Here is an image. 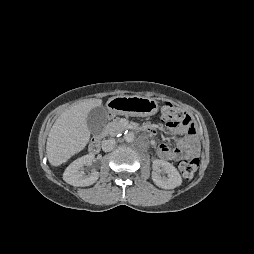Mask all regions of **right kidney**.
I'll list each match as a JSON object with an SVG mask.
<instances>
[{"mask_svg":"<svg viewBox=\"0 0 254 254\" xmlns=\"http://www.w3.org/2000/svg\"><path fill=\"white\" fill-rule=\"evenodd\" d=\"M94 161L93 154H87L72 162L63 174V180L73 186H90L99 178V172L93 171L86 175L83 172V167L91 165Z\"/></svg>","mask_w":254,"mask_h":254,"instance_id":"right-kidney-1","label":"right kidney"}]
</instances>
